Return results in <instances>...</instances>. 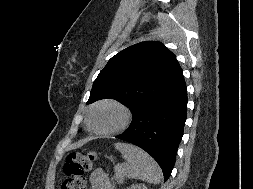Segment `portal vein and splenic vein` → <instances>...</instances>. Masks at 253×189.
<instances>
[{"instance_id": "18ae733b", "label": "portal vein and splenic vein", "mask_w": 253, "mask_h": 189, "mask_svg": "<svg viewBox=\"0 0 253 189\" xmlns=\"http://www.w3.org/2000/svg\"><path fill=\"white\" fill-rule=\"evenodd\" d=\"M119 167H120L119 165H116L115 170H119Z\"/></svg>"}]
</instances>
